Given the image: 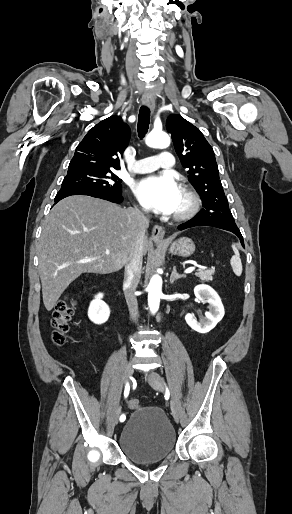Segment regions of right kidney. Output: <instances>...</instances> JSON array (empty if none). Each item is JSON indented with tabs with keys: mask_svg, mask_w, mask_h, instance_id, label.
I'll list each match as a JSON object with an SVG mask.
<instances>
[{
	"mask_svg": "<svg viewBox=\"0 0 292 514\" xmlns=\"http://www.w3.org/2000/svg\"><path fill=\"white\" fill-rule=\"evenodd\" d=\"M101 298H103V294L95 296V300H92L88 310V316L95 324H104L110 316V308Z\"/></svg>",
	"mask_w": 292,
	"mask_h": 514,
	"instance_id": "ca27d5eb",
	"label": "right kidney"
}]
</instances>
